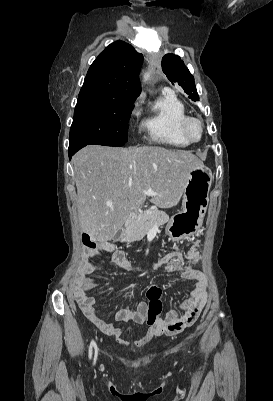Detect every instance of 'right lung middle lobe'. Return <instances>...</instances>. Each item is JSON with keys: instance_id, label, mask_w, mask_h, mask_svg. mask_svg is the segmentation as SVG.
<instances>
[{"instance_id": "dd1d6c3e", "label": "right lung middle lobe", "mask_w": 273, "mask_h": 401, "mask_svg": "<svg viewBox=\"0 0 273 401\" xmlns=\"http://www.w3.org/2000/svg\"><path fill=\"white\" fill-rule=\"evenodd\" d=\"M132 105L122 100L79 97L70 128V145H124Z\"/></svg>"}]
</instances>
